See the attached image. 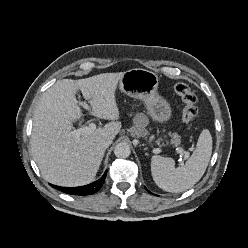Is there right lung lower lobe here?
<instances>
[{
    "instance_id": "98d812e1",
    "label": "right lung lower lobe",
    "mask_w": 248,
    "mask_h": 248,
    "mask_svg": "<svg viewBox=\"0 0 248 248\" xmlns=\"http://www.w3.org/2000/svg\"><path fill=\"white\" fill-rule=\"evenodd\" d=\"M106 174L107 171L103 174V176L99 180L86 186H79V187H59L56 185H51V186L71 195H81V196L91 195L97 192L102 187L106 178Z\"/></svg>"
}]
</instances>
